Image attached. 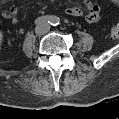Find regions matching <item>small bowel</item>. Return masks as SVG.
I'll return each mask as SVG.
<instances>
[{"label": "small bowel", "instance_id": "1", "mask_svg": "<svg viewBox=\"0 0 119 119\" xmlns=\"http://www.w3.org/2000/svg\"><path fill=\"white\" fill-rule=\"evenodd\" d=\"M66 13L71 16L85 15L87 22L96 23L100 20V8L98 5L89 1H82L77 4H73L66 9ZM17 8H12L3 12V17L10 20L13 23L17 22Z\"/></svg>", "mask_w": 119, "mask_h": 119}]
</instances>
